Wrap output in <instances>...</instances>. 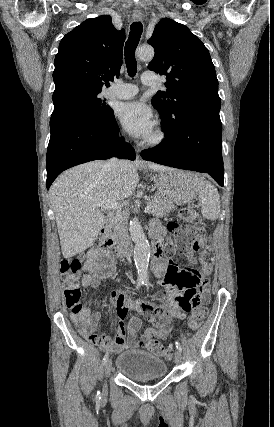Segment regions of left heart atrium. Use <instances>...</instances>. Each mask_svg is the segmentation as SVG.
Masks as SVG:
<instances>
[{"label": "left heart atrium", "instance_id": "1", "mask_svg": "<svg viewBox=\"0 0 274 427\" xmlns=\"http://www.w3.org/2000/svg\"><path fill=\"white\" fill-rule=\"evenodd\" d=\"M115 114L123 128L134 137L146 139L155 129L152 110L141 101L120 103Z\"/></svg>", "mask_w": 274, "mask_h": 427}]
</instances>
